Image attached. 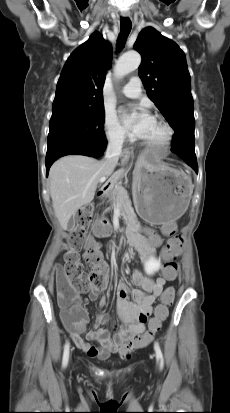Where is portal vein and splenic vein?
I'll list each match as a JSON object with an SVG mask.
<instances>
[{"instance_id": "obj_1", "label": "portal vein and splenic vein", "mask_w": 230, "mask_h": 413, "mask_svg": "<svg viewBox=\"0 0 230 413\" xmlns=\"http://www.w3.org/2000/svg\"><path fill=\"white\" fill-rule=\"evenodd\" d=\"M106 179H107V177H101L100 180H99V182H100V183H103V182L106 181Z\"/></svg>"}]
</instances>
